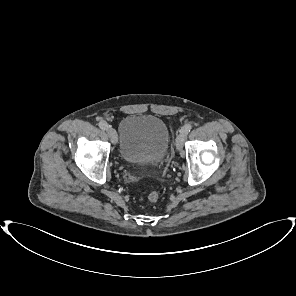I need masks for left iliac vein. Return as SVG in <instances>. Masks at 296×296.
Instances as JSON below:
<instances>
[{
  "mask_svg": "<svg viewBox=\"0 0 296 296\" xmlns=\"http://www.w3.org/2000/svg\"><path fill=\"white\" fill-rule=\"evenodd\" d=\"M187 133L180 131L176 138V148L178 151H181L184 145V141L186 139Z\"/></svg>",
  "mask_w": 296,
  "mask_h": 296,
  "instance_id": "left-iliac-vein-1",
  "label": "left iliac vein"
}]
</instances>
